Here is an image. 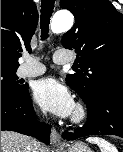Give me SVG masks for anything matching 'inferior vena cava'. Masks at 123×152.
Instances as JSON below:
<instances>
[{
	"mask_svg": "<svg viewBox=\"0 0 123 152\" xmlns=\"http://www.w3.org/2000/svg\"><path fill=\"white\" fill-rule=\"evenodd\" d=\"M28 152H35L34 148L32 146H29Z\"/></svg>",
	"mask_w": 123,
	"mask_h": 152,
	"instance_id": "602c4592",
	"label": "inferior vena cava"
}]
</instances>
